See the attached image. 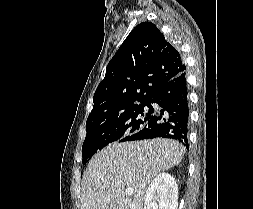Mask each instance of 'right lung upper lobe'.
<instances>
[{
	"label": "right lung upper lobe",
	"mask_w": 253,
	"mask_h": 209,
	"mask_svg": "<svg viewBox=\"0 0 253 209\" xmlns=\"http://www.w3.org/2000/svg\"><path fill=\"white\" fill-rule=\"evenodd\" d=\"M185 70L180 53L160 30L153 23H140L108 63L88 119L149 103L167 82Z\"/></svg>",
	"instance_id": "right-lung-upper-lobe-1"
}]
</instances>
